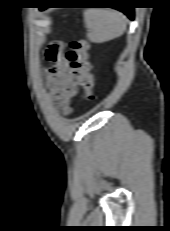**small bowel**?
Segmentation results:
<instances>
[{
    "instance_id": "small-bowel-1",
    "label": "small bowel",
    "mask_w": 170,
    "mask_h": 231,
    "mask_svg": "<svg viewBox=\"0 0 170 231\" xmlns=\"http://www.w3.org/2000/svg\"><path fill=\"white\" fill-rule=\"evenodd\" d=\"M63 50L64 45L61 42H53L46 51V58L50 63V68L47 70V83L53 101L68 114L71 112L70 103L76 95L77 86Z\"/></svg>"
}]
</instances>
